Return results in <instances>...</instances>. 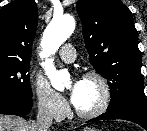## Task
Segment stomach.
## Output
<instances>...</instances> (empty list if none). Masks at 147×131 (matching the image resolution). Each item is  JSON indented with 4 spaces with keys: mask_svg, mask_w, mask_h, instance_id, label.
Masks as SVG:
<instances>
[{
    "mask_svg": "<svg viewBox=\"0 0 147 131\" xmlns=\"http://www.w3.org/2000/svg\"><path fill=\"white\" fill-rule=\"evenodd\" d=\"M82 131H99L96 128H84Z\"/></svg>",
    "mask_w": 147,
    "mask_h": 131,
    "instance_id": "stomach-1",
    "label": "stomach"
}]
</instances>
